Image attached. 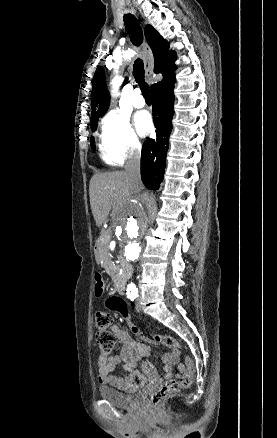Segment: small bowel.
Segmentation results:
<instances>
[{
	"instance_id": "1",
	"label": "small bowel",
	"mask_w": 277,
	"mask_h": 438,
	"mask_svg": "<svg viewBox=\"0 0 277 438\" xmlns=\"http://www.w3.org/2000/svg\"><path fill=\"white\" fill-rule=\"evenodd\" d=\"M119 313L125 317L128 321L126 311ZM112 333L117 336V339L122 344V350L120 355L111 357H101L97 363L98 379L101 383L109 385L111 387L118 388L122 391H129L135 386L136 372L135 368L138 361L142 358L150 356V348L147 345L132 339L128 333H138V326H128L126 333L120 328L118 324H113L110 327ZM138 340L143 341L146 338L145 333L140 332L137 335ZM120 364L127 371V374L123 376H113V372ZM152 362L149 359L144 360L142 370L144 373L149 374L152 372ZM163 371L166 378L178 376L185 371V366L180 360L178 351H173L164 356Z\"/></svg>"
}]
</instances>
